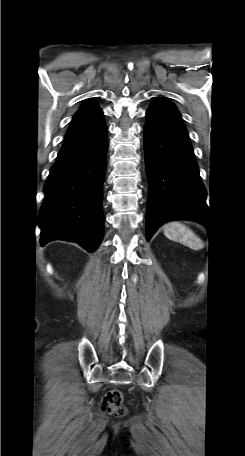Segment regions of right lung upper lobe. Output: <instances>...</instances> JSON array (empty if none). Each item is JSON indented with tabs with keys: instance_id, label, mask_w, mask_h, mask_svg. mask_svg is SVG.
Here are the masks:
<instances>
[{
	"instance_id": "obj_1",
	"label": "right lung upper lobe",
	"mask_w": 245,
	"mask_h": 456,
	"mask_svg": "<svg viewBox=\"0 0 245 456\" xmlns=\"http://www.w3.org/2000/svg\"><path fill=\"white\" fill-rule=\"evenodd\" d=\"M105 125L102 110L92 99L85 100L73 116L61 150H70L89 144L97 139Z\"/></svg>"
}]
</instances>
